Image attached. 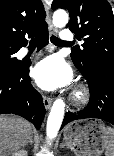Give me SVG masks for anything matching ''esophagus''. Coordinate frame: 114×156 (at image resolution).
<instances>
[{"label": "esophagus", "instance_id": "1", "mask_svg": "<svg viewBox=\"0 0 114 156\" xmlns=\"http://www.w3.org/2000/svg\"><path fill=\"white\" fill-rule=\"evenodd\" d=\"M49 33L50 35H54L57 33L56 28L51 23L49 24ZM52 101L53 100L51 97L45 95L43 96V103L46 109H49L51 107Z\"/></svg>", "mask_w": 114, "mask_h": 156}]
</instances>
